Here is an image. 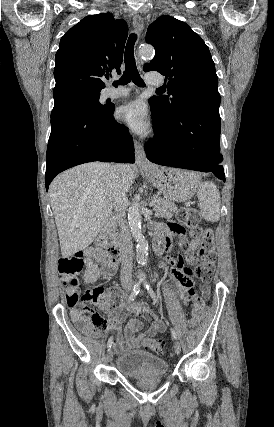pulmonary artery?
I'll use <instances>...</instances> for the list:
<instances>
[{"label":"pulmonary artery","instance_id":"e3ab8cb5","mask_svg":"<svg viewBox=\"0 0 274 427\" xmlns=\"http://www.w3.org/2000/svg\"><path fill=\"white\" fill-rule=\"evenodd\" d=\"M150 85L159 84L161 79L159 77L150 76L147 79ZM129 95V89L124 86L108 87L105 90V98L107 99H120Z\"/></svg>","mask_w":274,"mask_h":427}]
</instances>
